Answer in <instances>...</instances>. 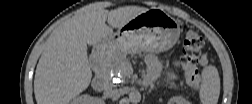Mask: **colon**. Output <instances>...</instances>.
<instances>
[{"instance_id":"5ec220e1","label":"colon","mask_w":252,"mask_h":104,"mask_svg":"<svg viewBox=\"0 0 252 104\" xmlns=\"http://www.w3.org/2000/svg\"><path fill=\"white\" fill-rule=\"evenodd\" d=\"M204 41L201 36L190 26L183 29V49L181 63L185 72L187 83L198 88L201 83V76L198 70V64H207L209 58L201 55V49Z\"/></svg>"}]
</instances>
